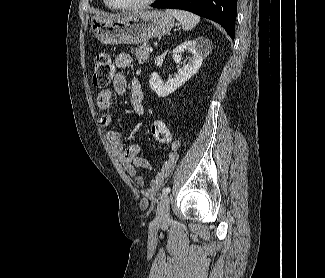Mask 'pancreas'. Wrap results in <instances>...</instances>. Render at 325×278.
<instances>
[{
	"label": "pancreas",
	"mask_w": 325,
	"mask_h": 278,
	"mask_svg": "<svg viewBox=\"0 0 325 278\" xmlns=\"http://www.w3.org/2000/svg\"><path fill=\"white\" fill-rule=\"evenodd\" d=\"M147 48H148L147 43H144L143 45H140V46L133 48L131 50L139 63L143 64L149 58V52H148Z\"/></svg>",
	"instance_id": "obj_1"
}]
</instances>
